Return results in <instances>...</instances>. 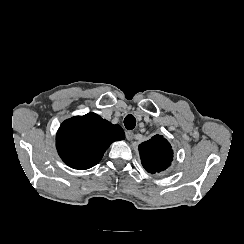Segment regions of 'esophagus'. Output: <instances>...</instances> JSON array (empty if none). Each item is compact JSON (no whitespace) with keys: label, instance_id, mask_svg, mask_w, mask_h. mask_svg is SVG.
I'll use <instances>...</instances> for the list:
<instances>
[{"label":"esophagus","instance_id":"34e87169","mask_svg":"<svg viewBox=\"0 0 244 244\" xmlns=\"http://www.w3.org/2000/svg\"><path fill=\"white\" fill-rule=\"evenodd\" d=\"M125 134H126L127 140H129V141L133 140L134 133L132 131H126Z\"/></svg>","mask_w":244,"mask_h":244}]
</instances>
